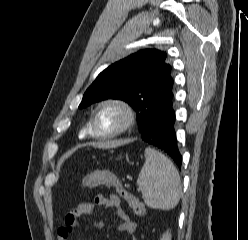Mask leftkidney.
Segmentation results:
<instances>
[{"label": "left kidney", "instance_id": "obj_1", "mask_svg": "<svg viewBox=\"0 0 248 240\" xmlns=\"http://www.w3.org/2000/svg\"><path fill=\"white\" fill-rule=\"evenodd\" d=\"M160 240H171V233L167 231Z\"/></svg>", "mask_w": 248, "mask_h": 240}]
</instances>
